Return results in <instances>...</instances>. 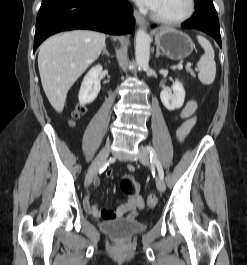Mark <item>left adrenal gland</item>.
<instances>
[{
    "label": "left adrenal gland",
    "instance_id": "obj_1",
    "mask_svg": "<svg viewBox=\"0 0 247 265\" xmlns=\"http://www.w3.org/2000/svg\"><path fill=\"white\" fill-rule=\"evenodd\" d=\"M160 55H161V53H160L159 49L157 48L156 49V58H158Z\"/></svg>",
    "mask_w": 247,
    "mask_h": 265
}]
</instances>
